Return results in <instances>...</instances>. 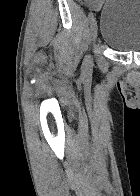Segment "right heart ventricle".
I'll list each match as a JSON object with an SVG mask.
<instances>
[{
	"label": "right heart ventricle",
	"instance_id": "e07e8e85",
	"mask_svg": "<svg viewBox=\"0 0 140 196\" xmlns=\"http://www.w3.org/2000/svg\"><path fill=\"white\" fill-rule=\"evenodd\" d=\"M79 192H104V191H79ZM106 192H111V191H106Z\"/></svg>",
	"mask_w": 140,
	"mask_h": 196
}]
</instances>
